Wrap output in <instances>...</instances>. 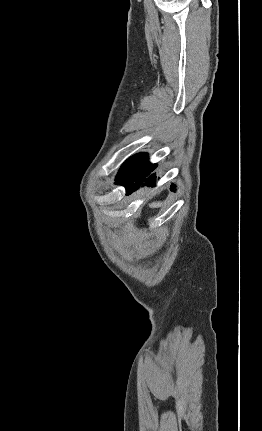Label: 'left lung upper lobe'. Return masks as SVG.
Wrapping results in <instances>:
<instances>
[{
  "label": "left lung upper lobe",
  "mask_w": 262,
  "mask_h": 431,
  "mask_svg": "<svg viewBox=\"0 0 262 431\" xmlns=\"http://www.w3.org/2000/svg\"><path fill=\"white\" fill-rule=\"evenodd\" d=\"M133 157H131L130 159H128L124 165H122L117 177H116V182H119L121 185H125L130 177H131V165L133 163ZM126 181V182H125Z\"/></svg>",
  "instance_id": "5c2ea615"
}]
</instances>
